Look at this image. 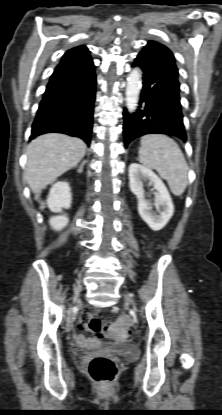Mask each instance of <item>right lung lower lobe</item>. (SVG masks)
Here are the masks:
<instances>
[{
	"mask_svg": "<svg viewBox=\"0 0 222 415\" xmlns=\"http://www.w3.org/2000/svg\"><path fill=\"white\" fill-rule=\"evenodd\" d=\"M96 76L89 52L65 54L47 84L30 139L64 133L90 144Z\"/></svg>",
	"mask_w": 222,
	"mask_h": 415,
	"instance_id": "1",
	"label": "right lung lower lobe"
}]
</instances>
